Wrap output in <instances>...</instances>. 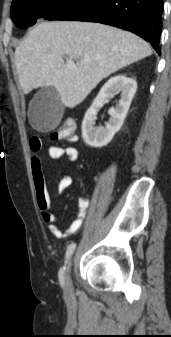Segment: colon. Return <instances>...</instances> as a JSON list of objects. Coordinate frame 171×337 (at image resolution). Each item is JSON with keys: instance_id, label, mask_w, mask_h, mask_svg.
<instances>
[{"instance_id": "1", "label": "colon", "mask_w": 171, "mask_h": 337, "mask_svg": "<svg viewBox=\"0 0 171 337\" xmlns=\"http://www.w3.org/2000/svg\"><path fill=\"white\" fill-rule=\"evenodd\" d=\"M55 141H74L76 139V122L72 118L65 119L62 124L50 132Z\"/></svg>"}]
</instances>
